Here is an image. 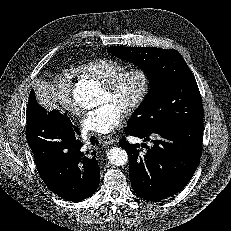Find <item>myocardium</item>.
<instances>
[{"label":"myocardium","mask_w":231,"mask_h":231,"mask_svg":"<svg viewBox=\"0 0 231 231\" xmlns=\"http://www.w3.org/2000/svg\"><path fill=\"white\" fill-rule=\"evenodd\" d=\"M132 75H135L140 78V88L136 96L123 109V112L126 115L135 112L141 106V104L144 102L147 95L149 94L151 87V78L149 73L142 67H132L123 70L115 77H113L110 81L103 84V89H105L107 92L111 94H114L118 91L125 79Z\"/></svg>","instance_id":"obj_1"}]
</instances>
